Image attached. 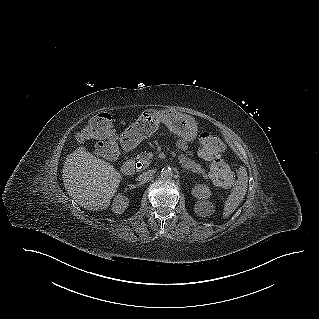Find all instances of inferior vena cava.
I'll return each instance as SVG.
<instances>
[{"label":"inferior vena cava","mask_w":319,"mask_h":319,"mask_svg":"<svg viewBox=\"0 0 319 319\" xmlns=\"http://www.w3.org/2000/svg\"><path fill=\"white\" fill-rule=\"evenodd\" d=\"M154 173H155L154 170L145 171V172H143V173L140 175V178H141V179L149 178V177H151Z\"/></svg>","instance_id":"obj_1"}]
</instances>
